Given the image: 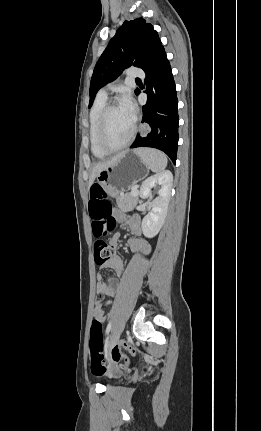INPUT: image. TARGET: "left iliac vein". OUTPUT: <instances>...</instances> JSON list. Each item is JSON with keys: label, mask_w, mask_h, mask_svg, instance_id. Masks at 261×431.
<instances>
[{"label": "left iliac vein", "mask_w": 261, "mask_h": 431, "mask_svg": "<svg viewBox=\"0 0 261 431\" xmlns=\"http://www.w3.org/2000/svg\"><path fill=\"white\" fill-rule=\"evenodd\" d=\"M122 329H123V327H122V326H120V327L116 328V329L112 332V334H111V336H110V339H109V341H108V343H107V347H108V348H111L114 344H116V343H117V341L119 340V337H120V335H121Z\"/></svg>", "instance_id": "left-iliac-vein-1"}]
</instances>
